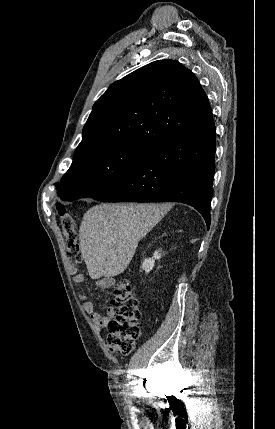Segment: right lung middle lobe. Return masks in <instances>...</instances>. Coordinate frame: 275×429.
Wrapping results in <instances>:
<instances>
[{
    "instance_id": "obj_1",
    "label": "right lung middle lobe",
    "mask_w": 275,
    "mask_h": 429,
    "mask_svg": "<svg viewBox=\"0 0 275 429\" xmlns=\"http://www.w3.org/2000/svg\"><path fill=\"white\" fill-rule=\"evenodd\" d=\"M150 151L131 145H113L89 153L72 162L56 183L58 196L65 201L92 197L136 169Z\"/></svg>"
}]
</instances>
